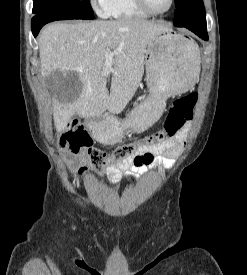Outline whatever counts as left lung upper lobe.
Listing matches in <instances>:
<instances>
[{"instance_id": "5c2ea615", "label": "left lung upper lobe", "mask_w": 247, "mask_h": 275, "mask_svg": "<svg viewBox=\"0 0 247 275\" xmlns=\"http://www.w3.org/2000/svg\"><path fill=\"white\" fill-rule=\"evenodd\" d=\"M175 26H206L203 0H175Z\"/></svg>"}]
</instances>
